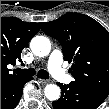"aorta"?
<instances>
[{"label":"aorta","mask_w":109,"mask_h":109,"mask_svg":"<svg viewBox=\"0 0 109 109\" xmlns=\"http://www.w3.org/2000/svg\"><path fill=\"white\" fill-rule=\"evenodd\" d=\"M32 52L39 57L47 56L51 50L50 40L45 36H35L30 42ZM44 94L50 101L60 98L61 90L56 84H48L44 89Z\"/></svg>","instance_id":"762f6f07"}]
</instances>
